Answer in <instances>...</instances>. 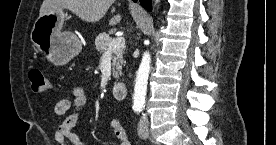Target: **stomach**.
<instances>
[{"mask_svg": "<svg viewBox=\"0 0 276 145\" xmlns=\"http://www.w3.org/2000/svg\"><path fill=\"white\" fill-rule=\"evenodd\" d=\"M65 13L53 9L39 16L30 34L31 41L56 65H64L82 49L80 39L71 31H63Z\"/></svg>", "mask_w": 276, "mask_h": 145, "instance_id": "0dacf381", "label": "stomach"}]
</instances>
